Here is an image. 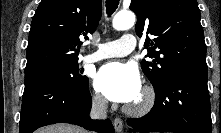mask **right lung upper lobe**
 Masks as SVG:
<instances>
[{
	"mask_svg": "<svg viewBox=\"0 0 221 133\" xmlns=\"http://www.w3.org/2000/svg\"><path fill=\"white\" fill-rule=\"evenodd\" d=\"M102 0H42L33 16L25 75L78 61L80 38L93 33Z\"/></svg>",
	"mask_w": 221,
	"mask_h": 133,
	"instance_id": "cb5924a9",
	"label": "right lung upper lobe"
}]
</instances>
